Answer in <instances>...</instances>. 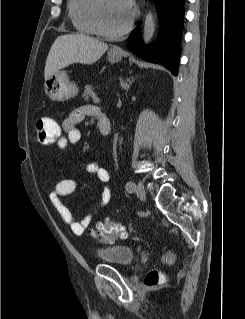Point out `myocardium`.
Segmentation results:
<instances>
[{"instance_id": "obj_1", "label": "myocardium", "mask_w": 245, "mask_h": 319, "mask_svg": "<svg viewBox=\"0 0 245 319\" xmlns=\"http://www.w3.org/2000/svg\"><path fill=\"white\" fill-rule=\"evenodd\" d=\"M135 13L132 12L127 23L118 30L108 29L103 21V0H96L94 5V21L97 31L100 35L110 38L121 37L125 35L133 26Z\"/></svg>"}]
</instances>
